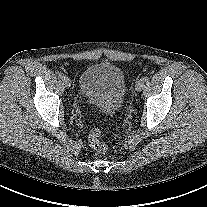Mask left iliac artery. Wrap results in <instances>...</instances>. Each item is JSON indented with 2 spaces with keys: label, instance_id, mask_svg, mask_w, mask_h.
Here are the masks:
<instances>
[{
  "label": "left iliac artery",
  "instance_id": "1",
  "mask_svg": "<svg viewBox=\"0 0 207 207\" xmlns=\"http://www.w3.org/2000/svg\"><path fill=\"white\" fill-rule=\"evenodd\" d=\"M141 80H142L143 82H146V81L148 80V77H147V76H143V77L141 78Z\"/></svg>",
  "mask_w": 207,
  "mask_h": 207
}]
</instances>
